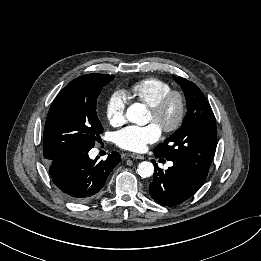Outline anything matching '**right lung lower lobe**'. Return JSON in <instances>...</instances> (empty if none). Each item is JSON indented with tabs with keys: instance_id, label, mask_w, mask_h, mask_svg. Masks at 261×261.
<instances>
[{
	"instance_id": "98d812e1",
	"label": "right lung lower lobe",
	"mask_w": 261,
	"mask_h": 261,
	"mask_svg": "<svg viewBox=\"0 0 261 261\" xmlns=\"http://www.w3.org/2000/svg\"><path fill=\"white\" fill-rule=\"evenodd\" d=\"M88 152H78L50 165L49 174L62 195L74 202H87L96 198L109 174L121 161L112 152L105 161L91 160Z\"/></svg>"
}]
</instances>
